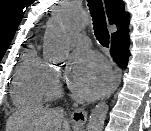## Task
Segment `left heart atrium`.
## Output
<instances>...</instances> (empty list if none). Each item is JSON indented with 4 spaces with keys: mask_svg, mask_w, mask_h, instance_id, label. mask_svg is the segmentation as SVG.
<instances>
[{
    "mask_svg": "<svg viewBox=\"0 0 151 131\" xmlns=\"http://www.w3.org/2000/svg\"><path fill=\"white\" fill-rule=\"evenodd\" d=\"M110 80V69L98 55L86 52L73 57L68 85L76 96L93 99L108 87Z\"/></svg>",
    "mask_w": 151,
    "mask_h": 131,
    "instance_id": "39dd6f15",
    "label": "left heart atrium"
}]
</instances>
